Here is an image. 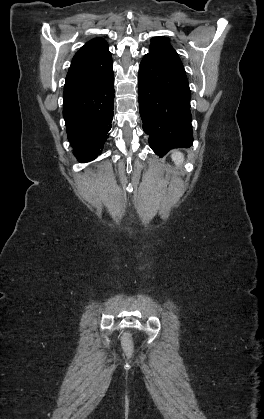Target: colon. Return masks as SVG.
<instances>
[{
    "instance_id": "5ec220e1",
    "label": "colon",
    "mask_w": 264,
    "mask_h": 419,
    "mask_svg": "<svg viewBox=\"0 0 264 419\" xmlns=\"http://www.w3.org/2000/svg\"><path fill=\"white\" fill-rule=\"evenodd\" d=\"M121 345L126 355L130 356L133 351L132 334L125 332L121 336Z\"/></svg>"
}]
</instances>
